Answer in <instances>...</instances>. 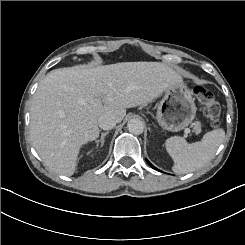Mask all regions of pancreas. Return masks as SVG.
Returning a JSON list of instances; mask_svg holds the SVG:
<instances>
[{"label": "pancreas", "mask_w": 245, "mask_h": 245, "mask_svg": "<svg viewBox=\"0 0 245 245\" xmlns=\"http://www.w3.org/2000/svg\"><path fill=\"white\" fill-rule=\"evenodd\" d=\"M191 127H193V131L196 134H199L201 132V123L199 121H196L191 124Z\"/></svg>", "instance_id": "1"}]
</instances>
